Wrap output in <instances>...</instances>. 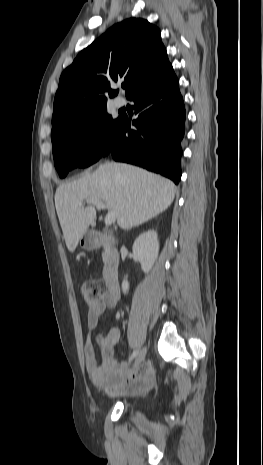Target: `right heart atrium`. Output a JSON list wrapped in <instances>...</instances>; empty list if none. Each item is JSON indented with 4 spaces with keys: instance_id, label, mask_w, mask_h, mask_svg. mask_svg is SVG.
<instances>
[{
    "instance_id": "d8ad5b80",
    "label": "right heart atrium",
    "mask_w": 263,
    "mask_h": 465,
    "mask_svg": "<svg viewBox=\"0 0 263 465\" xmlns=\"http://www.w3.org/2000/svg\"><path fill=\"white\" fill-rule=\"evenodd\" d=\"M104 144V138L99 130L91 129L84 136V146L89 153H97Z\"/></svg>"
}]
</instances>
